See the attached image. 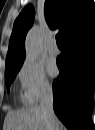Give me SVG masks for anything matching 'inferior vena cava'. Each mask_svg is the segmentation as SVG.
Here are the masks:
<instances>
[{
    "label": "inferior vena cava",
    "mask_w": 95,
    "mask_h": 130,
    "mask_svg": "<svg viewBox=\"0 0 95 130\" xmlns=\"http://www.w3.org/2000/svg\"><path fill=\"white\" fill-rule=\"evenodd\" d=\"M39 108L45 117L48 129L59 130L58 119L53 110V90L50 86L42 91Z\"/></svg>",
    "instance_id": "1"
}]
</instances>
